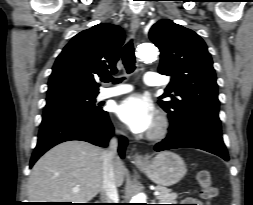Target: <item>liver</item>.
Segmentation results:
<instances>
[{
  "label": "liver",
  "mask_w": 253,
  "mask_h": 205,
  "mask_svg": "<svg viewBox=\"0 0 253 205\" xmlns=\"http://www.w3.org/2000/svg\"><path fill=\"white\" fill-rule=\"evenodd\" d=\"M104 150L83 141L63 142L46 152L33 166L28 182L31 202L88 203L101 190ZM126 168L114 160L116 185L124 181ZM79 186L78 191H73Z\"/></svg>",
  "instance_id": "liver-1"
}]
</instances>
